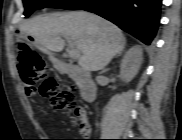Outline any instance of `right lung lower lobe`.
<instances>
[{
  "mask_svg": "<svg viewBox=\"0 0 182 140\" xmlns=\"http://www.w3.org/2000/svg\"><path fill=\"white\" fill-rule=\"evenodd\" d=\"M161 0H94L83 10L96 13L149 45L160 20Z\"/></svg>",
  "mask_w": 182,
  "mask_h": 140,
  "instance_id": "right-lung-lower-lobe-1",
  "label": "right lung lower lobe"
}]
</instances>
